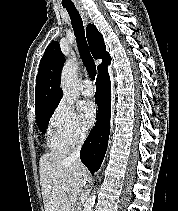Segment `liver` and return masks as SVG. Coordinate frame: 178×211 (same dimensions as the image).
Masks as SVG:
<instances>
[{"instance_id":"liver-1","label":"liver","mask_w":178,"mask_h":211,"mask_svg":"<svg viewBox=\"0 0 178 211\" xmlns=\"http://www.w3.org/2000/svg\"><path fill=\"white\" fill-rule=\"evenodd\" d=\"M39 173L45 211H70L68 195L79 196L89 174L81 162L56 152L42 155ZM62 186H66L67 191H63Z\"/></svg>"}]
</instances>
